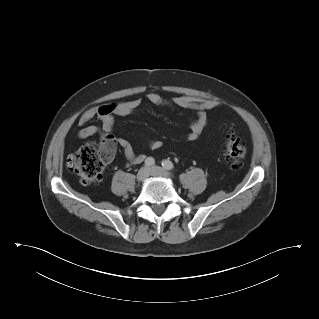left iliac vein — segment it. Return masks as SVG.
Wrapping results in <instances>:
<instances>
[{"label":"left iliac vein","instance_id":"left-iliac-vein-1","mask_svg":"<svg viewBox=\"0 0 319 319\" xmlns=\"http://www.w3.org/2000/svg\"><path fill=\"white\" fill-rule=\"evenodd\" d=\"M150 174L154 177H163V178H171L172 175L165 169L158 167V166H153L150 169Z\"/></svg>","mask_w":319,"mask_h":319}]
</instances>
